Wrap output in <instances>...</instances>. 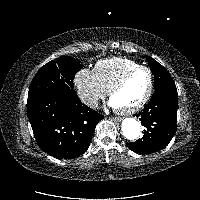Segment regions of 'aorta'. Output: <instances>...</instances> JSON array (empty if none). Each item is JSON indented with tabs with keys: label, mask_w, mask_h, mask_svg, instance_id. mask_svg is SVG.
Here are the masks:
<instances>
[{
	"label": "aorta",
	"mask_w": 200,
	"mask_h": 200,
	"mask_svg": "<svg viewBox=\"0 0 200 200\" xmlns=\"http://www.w3.org/2000/svg\"><path fill=\"white\" fill-rule=\"evenodd\" d=\"M122 132L126 139L136 140L140 133V123L134 118H125L122 122Z\"/></svg>",
	"instance_id": "762f6f07"
}]
</instances>
